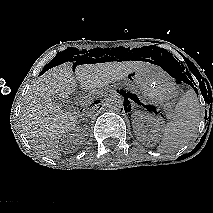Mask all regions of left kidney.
<instances>
[{
	"mask_svg": "<svg viewBox=\"0 0 213 213\" xmlns=\"http://www.w3.org/2000/svg\"><path fill=\"white\" fill-rule=\"evenodd\" d=\"M132 124L135 134L143 141H151L162 129L159 117L141 111L133 114Z\"/></svg>",
	"mask_w": 213,
	"mask_h": 213,
	"instance_id": "obj_1",
	"label": "left kidney"
}]
</instances>
